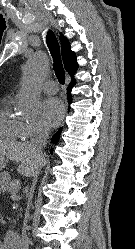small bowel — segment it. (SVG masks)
<instances>
[{
	"mask_svg": "<svg viewBox=\"0 0 135 249\" xmlns=\"http://www.w3.org/2000/svg\"><path fill=\"white\" fill-rule=\"evenodd\" d=\"M0 249H4V246L1 244V242H0Z\"/></svg>",
	"mask_w": 135,
	"mask_h": 249,
	"instance_id": "small-bowel-1",
	"label": "small bowel"
}]
</instances>
